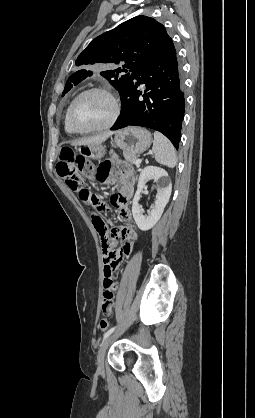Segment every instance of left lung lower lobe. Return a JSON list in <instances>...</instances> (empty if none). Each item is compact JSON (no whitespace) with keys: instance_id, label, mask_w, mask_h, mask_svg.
Listing matches in <instances>:
<instances>
[{"instance_id":"obj_1","label":"left lung lower lobe","mask_w":255,"mask_h":418,"mask_svg":"<svg viewBox=\"0 0 255 418\" xmlns=\"http://www.w3.org/2000/svg\"><path fill=\"white\" fill-rule=\"evenodd\" d=\"M143 91L137 90L138 85ZM183 74L172 39L130 75L122 110L111 130L129 125L152 128L179 147L185 111Z\"/></svg>"}]
</instances>
